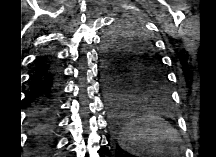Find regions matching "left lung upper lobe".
<instances>
[{
  "mask_svg": "<svg viewBox=\"0 0 216 157\" xmlns=\"http://www.w3.org/2000/svg\"><path fill=\"white\" fill-rule=\"evenodd\" d=\"M106 67L133 95L165 97L168 78L153 40L134 19L125 18L104 36Z\"/></svg>",
  "mask_w": 216,
  "mask_h": 157,
  "instance_id": "5c2ea615",
  "label": "left lung upper lobe"
}]
</instances>
